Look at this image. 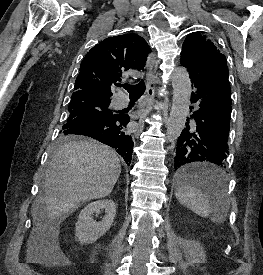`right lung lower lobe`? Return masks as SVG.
<instances>
[{"mask_svg": "<svg viewBox=\"0 0 263 275\" xmlns=\"http://www.w3.org/2000/svg\"><path fill=\"white\" fill-rule=\"evenodd\" d=\"M129 120L127 114H115L108 118L79 122L64 132L68 135L88 136L113 147L129 165L133 153L132 137L125 129Z\"/></svg>", "mask_w": 263, "mask_h": 275, "instance_id": "98d812e1", "label": "right lung lower lobe"}]
</instances>
